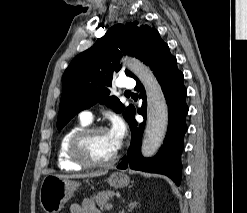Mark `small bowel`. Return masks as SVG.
<instances>
[{
    "instance_id": "1",
    "label": "small bowel",
    "mask_w": 247,
    "mask_h": 213,
    "mask_svg": "<svg viewBox=\"0 0 247 213\" xmlns=\"http://www.w3.org/2000/svg\"><path fill=\"white\" fill-rule=\"evenodd\" d=\"M70 213H100L90 199H85L81 203H73L70 206Z\"/></svg>"
}]
</instances>
